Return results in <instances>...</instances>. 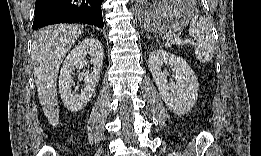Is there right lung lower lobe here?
I'll return each mask as SVG.
<instances>
[{
    "instance_id": "1",
    "label": "right lung lower lobe",
    "mask_w": 261,
    "mask_h": 156,
    "mask_svg": "<svg viewBox=\"0 0 261 156\" xmlns=\"http://www.w3.org/2000/svg\"><path fill=\"white\" fill-rule=\"evenodd\" d=\"M103 0H36L32 28L55 23H84L103 28Z\"/></svg>"
}]
</instances>
